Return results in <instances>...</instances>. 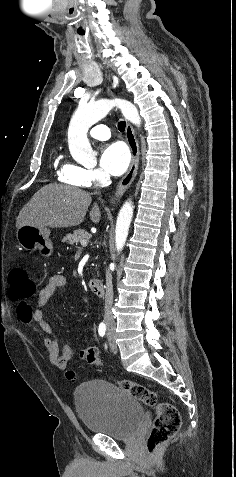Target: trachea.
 I'll list each match as a JSON object with an SVG mask.
<instances>
[{"mask_svg": "<svg viewBox=\"0 0 236 477\" xmlns=\"http://www.w3.org/2000/svg\"><path fill=\"white\" fill-rule=\"evenodd\" d=\"M125 127H126V122H125V121H120V122H118V129H119V131L124 132V131H125Z\"/></svg>", "mask_w": 236, "mask_h": 477, "instance_id": "obj_1", "label": "trachea"}]
</instances>
